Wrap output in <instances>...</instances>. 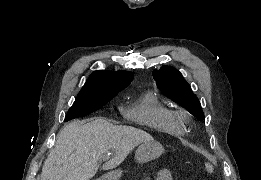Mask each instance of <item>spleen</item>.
<instances>
[{
    "instance_id": "spleen-1",
    "label": "spleen",
    "mask_w": 261,
    "mask_h": 180,
    "mask_svg": "<svg viewBox=\"0 0 261 180\" xmlns=\"http://www.w3.org/2000/svg\"><path fill=\"white\" fill-rule=\"evenodd\" d=\"M208 170H210V172H212L213 168H211V166H208Z\"/></svg>"
}]
</instances>
